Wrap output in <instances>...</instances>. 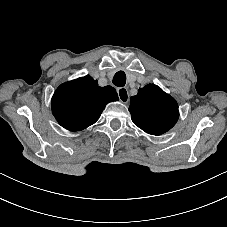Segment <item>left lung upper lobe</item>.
<instances>
[{
	"label": "left lung upper lobe",
	"instance_id": "1",
	"mask_svg": "<svg viewBox=\"0 0 227 227\" xmlns=\"http://www.w3.org/2000/svg\"><path fill=\"white\" fill-rule=\"evenodd\" d=\"M129 111L134 124L152 135L167 132L179 118L175 99L154 84L146 85L131 97Z\"/></svg>",
	"mask_w": 227,
	"mask_h": 227
}]
</instances>
